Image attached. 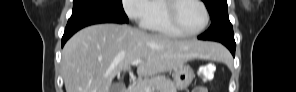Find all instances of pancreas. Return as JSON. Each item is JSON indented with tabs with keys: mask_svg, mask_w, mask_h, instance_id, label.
<instances>
[{
	"mask_svg": "<svg viewBox=\"0 0 296 92\" xmlns=\"http://www.w3.org/2000/svg\"><path fill=\"white\" fill-rule=\"evenodd\" d=\"M146 88L152 89L150 92H177L174 82L164 75H155L138 81L133 85L132 92H146Z\"/></svg>",
	"mask_w": 296,
	"mask_h": 92,
	"instance_id": "1",
	"label": "pancreas"
}]
</instances>
